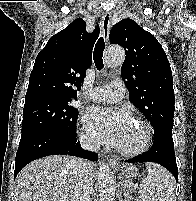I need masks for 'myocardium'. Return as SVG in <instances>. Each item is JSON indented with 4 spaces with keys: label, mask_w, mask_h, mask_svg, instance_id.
<instances>
[{
    "label": "myocardium",
    "mask_w": 196,
    "mask_h": 201,
    "mask_svg": "<svg viewBox=\"0 0 196 201\" xmlns=\"http://www.w3.org/2000/svg\"><path fill=\"white\" fill-rule=\"evenodd\" d=\"M143 131V139L139 146L133 149H123L119 146H116V150L123 156L134 157L144 153L151 146L153 141V129L152 126L143 119H137L136 122Z\"/></svg>",
    "instance_id": "f54148a6"
}]
</instances>
